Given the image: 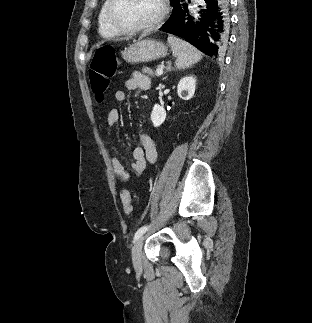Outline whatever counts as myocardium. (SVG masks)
I'll return each instance as SVG.
<instances>
[{
	"mask_svg": "<svg viewBox=\"0 0 312 323\" xmlns=\"http://www.w3.org/2000/svg\"><path fill=\"white\" fill-rule=\"evenodd\" d=\"M108 6L105 11L107 21H111L112 31H148L149 27L153 25H163L169 16V0H156L157 7L156 18H149V20H120L117 18L116 11L119 6L117 0H106Z\"/></svg>",
	"mask_w": 312,
	"mask_h": 323,
	"instance_id": "obj_1",
	"label": "myocardium"
}]
</instances>
